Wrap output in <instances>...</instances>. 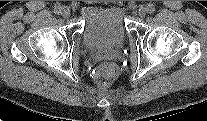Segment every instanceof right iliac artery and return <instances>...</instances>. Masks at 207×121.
Instances as JSON below:
<instances>
[{
    "mask_svg": "<svg viewBox=\"0 0 207 121\" xmlns=\"http://www.w3.org/2000/svg\"><path fill=\"white\" fill-rule=\"evenodd\" d=\"M54 13L57 14V15L62 14V6H60V5L55 6Z\"/></svg>",
    "mask_w": 207,
    "mask_h": 121,
    "instance_id": "obj_1",
    "label": "right iliac artery"
}]
</instances>
